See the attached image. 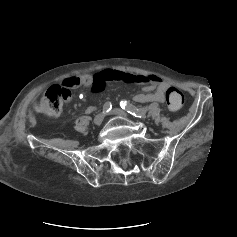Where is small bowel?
Returning <instances> with one entry per match:
<instances>
[{"label":"small bowel","mask_w":237,"mask_h":237,"mask_svg":"<svg viewBox=\"0 0 237 237\" xmlns=\"http://www.w3.org/2000/svg\"><path fill=\"white\" fill-rule=\"evenodd\" d=\"M68 80L76 81L75 87L78 85L91 87L94 93L102 91L111 81L143 84L144 93H139L134 97L135 101L140 103H163L165 101L166 91L169 87L166 81L154 74L138 75L114 69H105L95 75L85 74L67 79L66 81Z\"/></svg>","instance_id":"c3829d8e"}]
</instances>
